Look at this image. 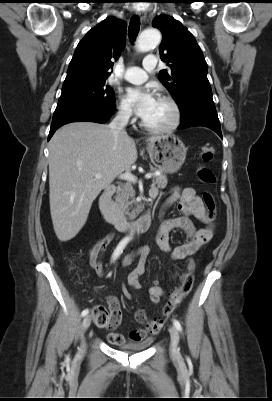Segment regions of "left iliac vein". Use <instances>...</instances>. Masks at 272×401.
<instances>
[{
  "instance_id": "obj_1",
  "label": "left iliac vein",
  "mask_w": 272,
  "mask_h": 401,
  "mask_svg": "<svg viewBox=\"0 0 272 401\" xmlns=\"http://www.w3.org/2000/svg\"><path fill=\"white\" fill-rule=\"evenodd\" d=\"M169 333H170V353L172 357H179L180 356V351H179V333L174 326H170L169 328Z\"/></svg>"
}]
</instances>
